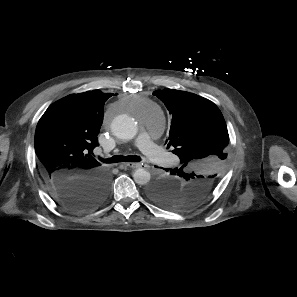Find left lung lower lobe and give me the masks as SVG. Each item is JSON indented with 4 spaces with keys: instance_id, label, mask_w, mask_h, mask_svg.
<instances>
[{
    "instance_id": "obj_1",
    "label": "left lung lower lobe",
    "mask_w": 297,
    "mask_h": 297,
    "mask_svg": "<svg viewBox=\"0 0 297 297\" xmlns=\"http://www.w3.org/2000/svg\"><path fill=\"white\" fill-rule=\"evenodd\" d=\"M165 170L168 172V171H170V170H172V169H165Z\"/></svg>"
}]
</instances>
